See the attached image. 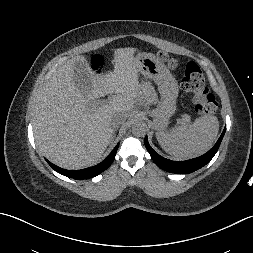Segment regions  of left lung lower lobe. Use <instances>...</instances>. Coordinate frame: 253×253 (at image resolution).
Masks as SVG:
<instances>
[{"mask_svg":"<svg viewBox=\"0 0 253 253\" xmlns=\"http://www.w3.org/2000/svg\"><path fill=\"white\" fill-rule=\"evenodd\" d=\"M225 131H226V127L224 128L216 144L207 153H205L204 155L200 157L187 160V161H181V162L168 160L160 156L158 153H156L149 145L147 136L144 139V143H145V147L147 148L148 152L151 155V158L161 169L168 172L176 173V174H181V173L188 174L200 169L201 167L205 166L207 163L211 161V159L214 157V155L219 149V146L221 144Z\"/></svg>","mask_w":253,"mask_h":253,"instance_id":"obj_1","label":"left lung lower lobe"}]
</instances>
